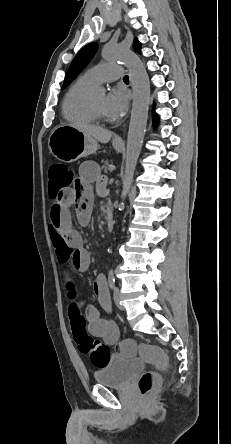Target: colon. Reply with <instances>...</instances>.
I'll return each mask as SVG.
<instances>
[{"label":"colon","mask_w":231,"mask_h":444,"mask_svg":"<svg viewBox=\"0 0 231 444\" xmlns=\"http://www.w3.org/2000/svg\"><path fill=\"white\" fill-rule=\"evenodd\" d=\"M76 178L73 172L63 163H53L49 167V195L53 202L58 203L66 188L73 186ZM71 329L74 341L79 351L87 356L90 362L98 368L103 367L109 360L111 352L109 346L94 340L87 332L86 319L78 304L70 307ZM119 348L128 350L138 349L143 359L162 369L167 364V359L162 349L155 345H136L132 340H124ZM160 384V377L154 371L144 372L138 381V387L143 395L150 394Z\"/></svg>","instance_id":"5ec220e1"}]
</instances>
